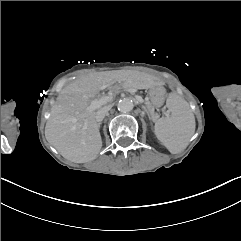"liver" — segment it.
Returning <instances> with one entry per match:
<instances>
[{
  "mask_svg": "<svg viewBox=\"0 0 241 241\" xmlns=\"http://www.w3.org/2000/svg\"><path fill=\"white\" fill-rule=\"evenodd\" d=\"M128 74L130 72H95L84 75L63 88L52 107L45 137L65 159L74 163H86L96 159L102 148L96 113L104 107L92 109L91 102L100 90L109 86L111 89L120 87ZM138 80L146 81L147 86H132L135 89L156 85L148 77Z\"/></svg>",
  "mask_w": 241,
  "mask_h": 241,
  "instance_id": "liver-1",
  "label": "liver"
}]
</instances>
